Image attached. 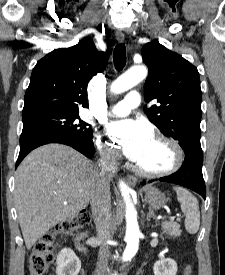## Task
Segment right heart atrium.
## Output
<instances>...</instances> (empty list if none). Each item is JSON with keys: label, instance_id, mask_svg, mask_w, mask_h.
Listing matches in <instances>:
<instances>
[{"label": "right heart atrium", "instance_id": "right-heart-atrium-1", "mask_svg": "<svg viewBox=\"0 0 225 275\" xmlns=\"http://www.w3.org/2000/svg\"><path fill=\"white\" fill-rule=\"evenodd\" d=\"M96 143L101 151L102 157L106 162L116 163L118 161V155L113 150L112 146L107 142H102L101 135H96Z\"/></svg>", "mask_w": 225, "mask_h": 275}]
</instances>
